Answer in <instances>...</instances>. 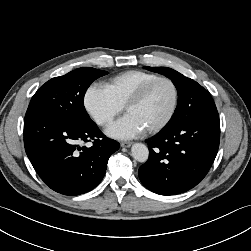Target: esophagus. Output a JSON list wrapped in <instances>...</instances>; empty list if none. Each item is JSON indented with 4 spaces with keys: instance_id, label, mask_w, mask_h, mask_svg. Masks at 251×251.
Returning <instances> with one entry per match:
<instances>
[{
    "instance_id": "esophagus-1",
    "label": "esophagus",
    "mask_w": 251,
    "mask_h": 251,
    "mask_svg": "<svg viewBox=\"0 0 251 251\" xmlns=\"http://www.w3.org/2000/svg\"><path fill=\"white\" fill-rule=\"evenodd\" d=\"M132 145V142H121L120 146L121 147H130Z\"/></svg>"
}]
</instances>
